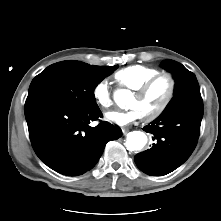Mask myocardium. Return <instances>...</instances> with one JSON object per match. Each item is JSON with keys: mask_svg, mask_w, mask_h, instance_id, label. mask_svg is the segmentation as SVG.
<instances>
[{"mask_svg": "<svg viewBox=\"0 0 221 221\" xmlns=\"http://www.w3.org/2000/svg\"><path fill=\"white\" fill-rule=\"evenodd\" d=\"M163 77L167 78L168 83H169L167 95H166L163 103L154 112H152L148 115L141 116L142 119L146 122H151V121L156 120L170 106V104L174 98L175 91H176V79H175L174 75L170 72H161V73L154 75L153 77H151L150 79L145 81L139 88L134 90V95H136L138 97H143L148 93V91L151 89V87L159 79H161Z\"/></svg>", "mask_w": 221, "mask_h": 221, "instance_id": "obj_1", "label": "myocardium"}]
</instances>
